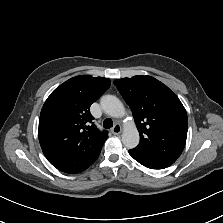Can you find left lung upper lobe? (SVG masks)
Instances as JSON below:
<instances>
[{
	"label": "left lung upper lobe",
	"mask_w": 223,
	"mask_h": 223,
	"mask_svg": "<svg viewBox=\"0 0 223 223\" xmlns=\"http://www.w3.org/2000/svg\"><path fill=\"white\" fill-rule=\"evenodd\" d=\"M130 106L140 133V143L130 151L155 161L174 163L187 137L188 118L178 97L151 76L114 81Z\"/></svg>",
	"instance_id": "1"
}]
</instances>
